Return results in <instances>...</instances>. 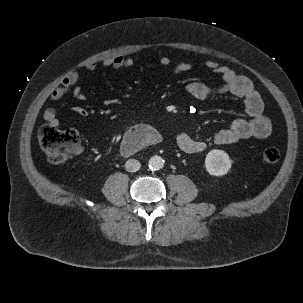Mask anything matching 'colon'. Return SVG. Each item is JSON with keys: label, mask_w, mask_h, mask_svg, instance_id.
Wrapping results in <instances>:
<instances>
[{"label": "colon", "mask_w": 303, "mask_h": 303, "mask_svg": "<svg viewBox=\"0 0 303 303\" xmlns=\"http://www.w3.org/2000/svg\"><path fill=\"white\" fill-rule=\"evenodd\" d=\"M38 142L51 164H61L79 149L80 136L74 129H59L50 124L41 127ZM264 162L276 163L280 159V151L275 146H267L262 152Z\"/></svg>", "instance_id": "5ec220e1"}]
</instances>
